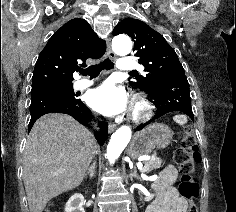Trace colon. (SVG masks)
<instances>
[{"mask_svg":"<svg viewBox=\"0 0 236 212\" xmlns=\"http://www.w3.org/2000/svg\"><path fill=\"white\" fill-rule=\"evenodd\" d=\"M201 160L199 146L191 128H186L181 138V144L174 153V161L182 173L179 192L188 200L187 212H199L195 200L198 196V184L192 173L195 165ZM49 212V211H45Z\"/></svg>","mask_w":236,"mask_h":212,"instance_id":"obj_1","label":"colon"}]
</instances>
